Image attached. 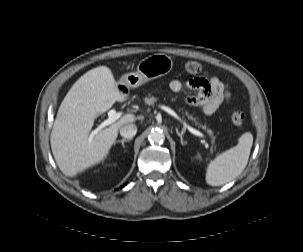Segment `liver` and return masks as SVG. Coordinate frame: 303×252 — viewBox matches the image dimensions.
I'll use <instances>...</instances> for the list:
<instances>
[{
	"label": "liver",
	"mask_w": 303,
	"mask_h": 252,
	"mask_svg": "<svg viewBox=\"0 0 303 252\" xmlns=\"http://www.w3.org/2000/svg\"><path fill=\"white\" fill-rule=\"evenodd\" d=\"M126 99L106 66L89 70L74 83L58 109L50 136L52 153L64 175L74 177L102 161L119 128L136 121L134 114H125L90 138L95 118Z\"/></svg>",
	"instance_id": "obj_1"
}]
</instances>
